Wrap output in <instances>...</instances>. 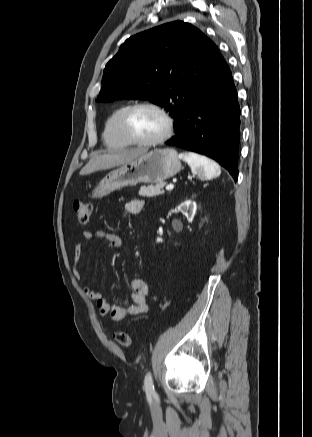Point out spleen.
<instances>
[{
  "instance_id": "spleen-1",
  "label": "spleen",
  "mask_w": 312,
  "mask_h": 437,
  "mask_svg": "<svg viewBox=\"0 0 312 437\" xmlns=\"http://www.w3.org/2000/svg\"><path fill=\"white\" fill-rule=\"evenodd\" d=\"M179 158L187 162L194 174H198L206 180L215 178L220 175L219 165L209 158L194 152H183Z\"/></svg>"
}]
</instances>
